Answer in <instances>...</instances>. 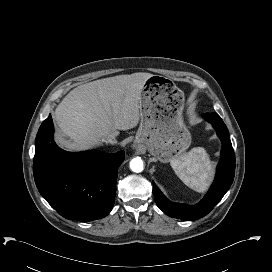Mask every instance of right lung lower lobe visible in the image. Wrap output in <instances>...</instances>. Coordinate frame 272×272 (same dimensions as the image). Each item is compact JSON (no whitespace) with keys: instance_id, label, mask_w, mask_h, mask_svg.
Here are the masks:
<instances>
[{"instance_id":"98d812e1","label":"right lung lower lobe","mask_w":272,"mask_h":272,"mask_svg":"<svg viewBox=\"0 0 272 272\" xmlns=\"http://www.w3.org/2000/svg\"><path fill=\"white\" fill-rule=\"evenodd\" d=\"M53 131L49 115L35 141L33 173L40 194L67 219L88 222L105 217L114 205L124 151L67 152L57 147Z\"/></svg>"}]
</instances>
